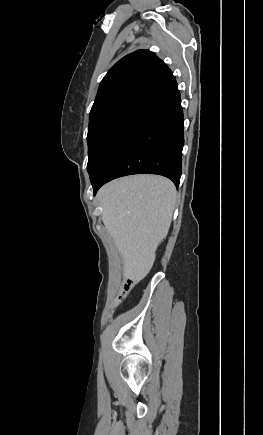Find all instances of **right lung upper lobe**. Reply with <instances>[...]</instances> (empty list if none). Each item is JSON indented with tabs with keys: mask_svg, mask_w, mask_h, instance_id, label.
Returning a JSON list of instances; mask_svg holds the SVG:
<instances>
[{
	"mask_svg": "<svg viewBox=\"0 0 263 435\" xmlns=\"http://www.w3.org/2000/svg\"><path fill=\"white\" fill-rule=\"evenodd\" d=\"M173 81L171 70L153 52L137 50L120 59L105 75L90 114L117 102L144 104Z\"/></svg>",
	"mask_w": 263,
	"mask_h": 435,
	"instance_id": "obj_1",
	"label": "right lung upper lobe"
}]
</instances>
